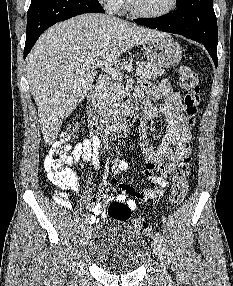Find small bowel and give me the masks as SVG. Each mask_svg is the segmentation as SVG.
<instances>
[{"mask_svg":"<svg viewBox=\"0 0 233 286\" xmlns=\"http://www.w3.org/2000/svg\"><path fill=\"white\" fill-rule=\"evenodd\" d=\"M137 99L143 103L144 117L146 119L166 118L168 120L166 134L157 147L152 146L146 137L140 135V143L145 155V176L158 186L155 191L142 192L135 186L126 182H119L113 178L112 182L119 189V194L115 199L126 203L131 210L136 209V199H143L145 196L156 197L162 194L168 185V177L176 169L180 161L190 155L191 149H185V144L190 142L191 132L186 123L185 110L181 102L180 94L174 90L168 80L161 81L158 85L141 83L136 91ZM156 101H160L156 103ZM99 137L87 138L84 142L77 144L67 164L71 165L78 160L91 162L95 168L100 165ZM126 168L125 163H120L117 173ZM54 199L64 208H69L67 194L64 191H56ZM109 196L102 194L96 198L86 197L87 204L92 208V214L86 217L94 222L96 217L101 214L104 202Z\"/></svg>","mask_w":233,"mask_h":286,"instance_id":"1","label":"small bowel"}]
</instances>
